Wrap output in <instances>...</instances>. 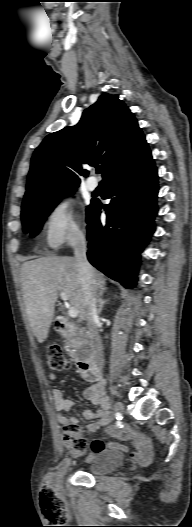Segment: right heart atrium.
Returning <instances> with one entry per match:
<instances>
[{"label":"right heart atrium","mask_w":192,"mask_h":527,"mask_svg":"<svg viewBox=\"0 0 192 527\" xmlns=\"http://www.w3.org/2000/svg\"><path fill=\"white\" fill-rule=\"evenodd\" d=\"M45 241L49 248L60 249L83 235L74 205L65 199L55 202L44 218Z\"/></svg>","instance_id":"obj_1"}]
</instances>
